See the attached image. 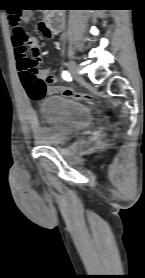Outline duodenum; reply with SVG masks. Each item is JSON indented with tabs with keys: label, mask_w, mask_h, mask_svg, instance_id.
<instances>
[{
	"label": "duodenum",
	"mask_w": 145,
	"mask_h": 278,
	"mask_svg": "<svg viewBox=\"0 0 145 278\" xmlns=\"http://www.w3.org/2000/svg\"><path fill=\"white\" fill-rule=\"evenodd\" d=\"M43 23L48 29H50L53 33L56 34L61 30L63 20L59 16L48 14L45 16Z\"/></svg>",
	"instance_id": "obj_1"
}]
</instances>
